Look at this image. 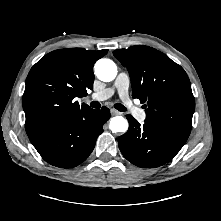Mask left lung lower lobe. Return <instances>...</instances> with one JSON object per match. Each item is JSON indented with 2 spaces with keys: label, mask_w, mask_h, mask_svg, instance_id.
<instances>
[{
  "label": "left lung lower lobe",
  "mask_w": 221,
  "mask_h": 221,
  "mask_svg": "<svg viewBox=\"0 0 221 221\" xmlns=\"http://www.w3.org/2000/svg\"><path fill=\"white\" fill-rule=\"evenodd\" d=\"M128 131L118 138L123 156L142 168H154L169 162L183 147L188 137L162 129L148 121L140 125L131 115Z\"/></svg>",
  "instance_id": "left-lung-lower-lobe-1"
}]
</instances>
